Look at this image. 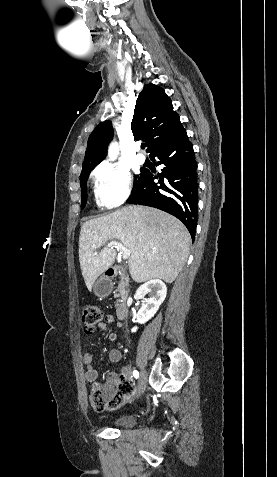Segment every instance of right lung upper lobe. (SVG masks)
Wrapping results in <instances>:
<instances>
[{
	"label": "right lung upper lobe",
	"instance_id": "right-lung-upper-lobe-1",
	"mask_svg": "<svg viewBox=\"0 0 277 477\" xmlns=\"http://www.w3.org/2000/svg\"><path fill=\"white\" fill-rule=\"evenodd\" d=\"M183 126L179 115L173 111L172 101L165 91L154 84L144 85L134 110L131 129L135 139H143L147 152L175 136ZM113 138L110 121L97 125L88 139L82 170L95 167L107 154V146Z\"/></svg>",
	"mask_w": 277,
	"mask_h": 477
}]
</instances>
